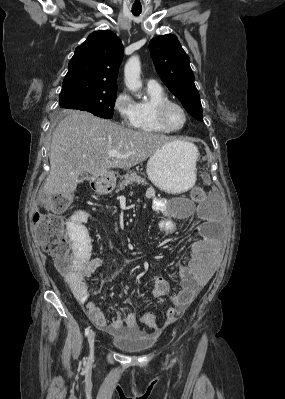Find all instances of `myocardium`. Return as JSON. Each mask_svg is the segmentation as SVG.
Masks as SVG:
<instances>
[{"label": "myocardium", "mask_w": 285, "mask_h": 399, "mask_svg": "<svg viewBox=\"0 0 285 399\" xmlns=\"http://www.w3.org/2000/svg\"><path fill=\"white\" fill-rule=\"evenodd\" d=\"M175 107L177 108L183 115V124L181 126L175 127L173 125L170 124L169 120H168V112L169 110ZM155 114H156V120L158 122V124L171 132H175V131H179L181 130L187 123V113L186 110L184 109V107L182 105H180L177 102H174L172 100H167L164 101L162 103H160L159 105H157V107L155 108Z\"/></svg>", "instance_id": "myocardium-1"}]
</instances>
